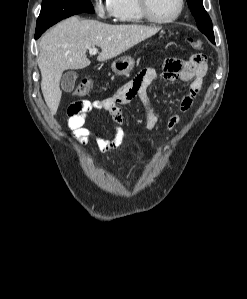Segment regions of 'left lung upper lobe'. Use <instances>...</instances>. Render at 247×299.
Instances as JSON below:
<instances>
[{
	"label": "left lung upper lobe",
	"mask_w": 247,
	"mask_h": 299,
	"mask_svg": "<svg viewBox=\"0 0 247 299\" xmlns=\"http://www.w3.org/2000/svg\"><path fill=\"white\" fill-rule=\"evenodd\" d=\"M192 15L195 17L198 29L204 33L208 39L215 43L212 21L205 11L202 0H187Z\"/></svg>",
	"instance_id": "left-lung-upper-lobe-1"
}]
</instances>
